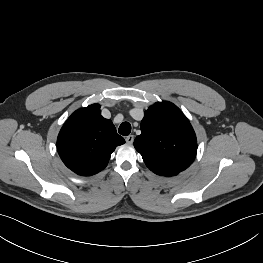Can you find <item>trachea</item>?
<instances>
[{
	"mask_svg": "<svg viewBox=\"0 0 263 263\" xmlns=\"http://www.w3.org/2000/svg\"><path fill=\"white\" fill-rule=\"evenodd\" d=\"M118 132L123 136H128L131 132V125L129 122H123L118 129Z\"/></svg>",
	"mask_w": 263,
	"mask_h": 263,
	"instance_id": "1",
	"label": "trachea"
}]
</instances>
